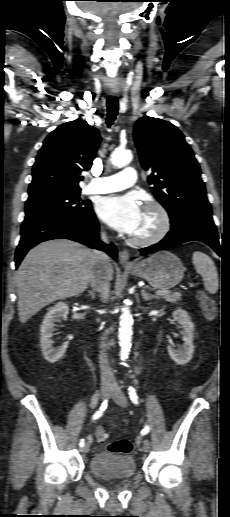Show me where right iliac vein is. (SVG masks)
<instances>
[{"label": "right iliac vein", "mask_w": 230, "mask_h": 517, "mask_svg": "<svg viewBox=\"0 0 230 517\" xmlns=\"http://www.w3.org/2000/svg\"><path fill=\"white\" fill-rule=\"evenodd\" d=\"M111 394V388L109 384L103 385L100 391V396L102 400H105ZM90 449L89 443L84 444L81 451L83 453H88Z\"/></svg>", "instance_id": "obj_1"}]
</instances>
